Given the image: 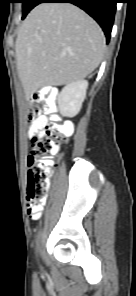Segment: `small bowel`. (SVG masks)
I'll return each instance as SVG.
<instances>
[{
    "instance_id": "1",
    "label": "small bowel",
    "mask_w": 136,
    "mask_h": 296,
    "mask_svg": "<svg viewBox=\"0 0 136 296\" xmlns=\"http://www.w3.org/2000/svg\"><path fill=\"white\" fill-rule=\"evenodd\" d=\"M42 121H35L32 126H31V129H30V133L31 134H35L37 132H41V128H42ZM41 212H42V209L40 210V213H39V216L41 215ZM38 217H35L34 219L38 218Z\"/></svg>"
}]
</instances>
